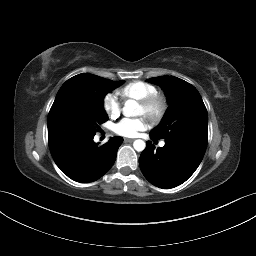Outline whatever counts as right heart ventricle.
<instances>
[{"instance_id": "1", "label": "right heart ventricle", "mask_w": 256, "mask_h": 256, "mask_svg": "<svg viewBox=\"0 0 256 256\" xmlns=\"http://www.w3.org/2000/svg\"><path fill=\"white\" fill-rule=\"evenodd\" d=\"M157 92V88L150 83L144 81H134L120 88L117 91V94L125 100L140 101L143 98L155 94Z\"/></svg>"}]
</instances>
